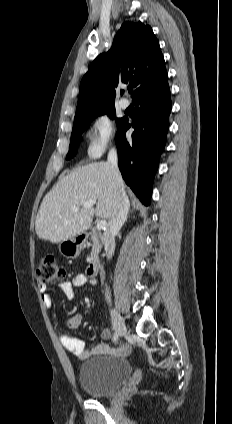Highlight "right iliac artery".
Segmentation results:
<instances>
[{"mask_svg":"<svg viewBox=\"0 0 232 424\" xmlns=\"http://www.w3.org/2000/svg\"><path fill=\"white\" fill-rule=\"evenodd\" d=\"M118 340V333L115 331L113 334V341H117Z\"/></svg>","mask_w":232,"mask_h":424,"instance_id":"obj_1","label":"right iliac artery"}]
</instances>
